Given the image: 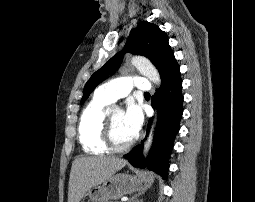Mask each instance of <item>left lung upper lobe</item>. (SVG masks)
<instances>
[{"label":"left lung upper lobe","instance_id":"5c2ea615","mask_svg":"<svg viewBox=\"0 0 255 202\" xmlns=\"http://www.w3.org/2000/svg\"><path fill=\"white\" fill-rule=\"evenodd\" d=\"M125 52L147 57L160 73L162 80L161 87L180 73L177 61L168 44L166 34L155 24L140 22L130 32L124 50L114 55L87 81L83 92L82 103L89 97L90 93L98 84L104 81L109 75L114 74L119 68Z\"/></svg>","mask_w":255,"mask_h":202}]
</instances>
